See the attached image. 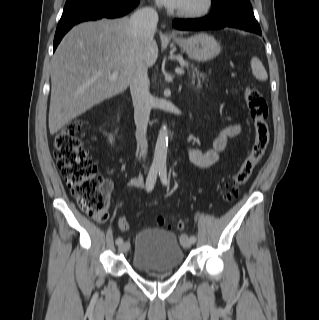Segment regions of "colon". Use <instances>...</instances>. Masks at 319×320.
Here are the masks:
<instances>
[{"label": "colon", "instance_id": "5ec220e1", "mask_svg": "<svg viewBox=\"0 0 319 320\" xmlns=\"http://www.w3.org/2000/svg\"><path fill=\"white\" fill-rule=\"evenodd\" d=\"M244 99L253 125L254 137L250 151L226 184L224 198L227 201L234 200L239 188L248 181L264 157L270 140L268 106L263 94L255 85L249 84L245 88ZM80 130L81 123L71 122L55 135L53 145L57 165L80 208L96 221L105 222L108 218L111 186L83 149L79 138ZM156 222L160 226L166 223L163 217H158ZM119 227L127 231L130 225L125 218H121Z\"/></svg>", "mask_w": 319, "mask_h": 320}]
</instances>
